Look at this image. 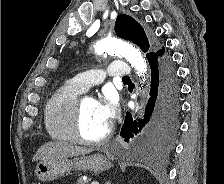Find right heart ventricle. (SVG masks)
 Here are the masks:
<instances>
[{
  "label": "right heart ventricle",
  "mask_w": 224,
  "mask_h": 184,
  "mask_svg": "<svg viewBox=\"0 0 224 184\" xmlns=\"http://www.w3.org/2000/svg\"><path fill=\"white\" fill-rule=\"evenodd\" d=\"M82 91L72 82L60 86L45 106L44 122L49 136L58 142H73L72 116Z\"/></svg>",
  "instance_id": "e07e8e85"
}]
</instances>
